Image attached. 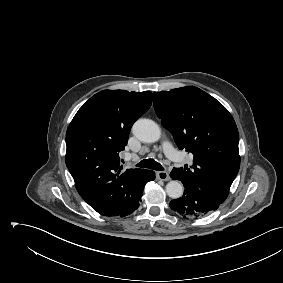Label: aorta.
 <instances>
[{"mask_svg": "<svg viewBox=\"0 0 283 283\" xmlns=\"http://www.w3.org/2000/svg\"><path fill=\"white\" fill-rule=\"evenodd\" d=\"M133 134L142 142L154 143L160 139L161 130L153 120L139 119L132 127ZM183 185L177 181L172 180L166 185V192L172 199L180 198L183 194Z\"/></svg>", "mask_w": 283, "mask_h": 283, "instance_id": "1", "label": "aorta"}]
</instances>
